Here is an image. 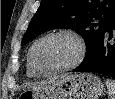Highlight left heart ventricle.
<instances>
[{"label": "left heart ventricle", "instance_id": "b2bd125f", "mask_svg": "<svg viewBox=\"0 0 115 99\" xmlns=\"http://www.w3.org/2000/svg\"><path fill=\"white\" fill-rule=\"evenodd\" d=\"M78 52L77 44L67 36L51 37L41 42L34 59L42 71H52L71 63Z\"/></svg>", "mask_w": 115, "mask_h": 99}]
</instances>
